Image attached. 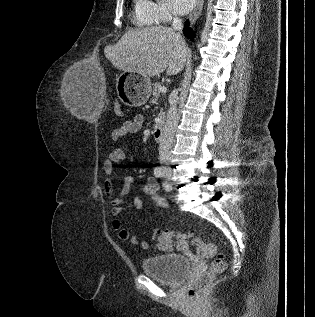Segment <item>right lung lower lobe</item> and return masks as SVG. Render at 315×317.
Returning a JSON list of instances; mask_svg holds the SVG:
<instances>
[{"instance_id":"98d812e1","label":"right lung lower lobe","mask_w":315,"mask_h":317,"mask_svg":"<svg viewBox=\"0 0 315 317\" xmlns=\"http://www.w3.org/2000/svg\"><path fill=\"white\" fill-rule=\"evenodd\" d=\"M183 32L186 36H189V34H191V29L189 28V21H186Z\"/></svg>"}]
</instances>
